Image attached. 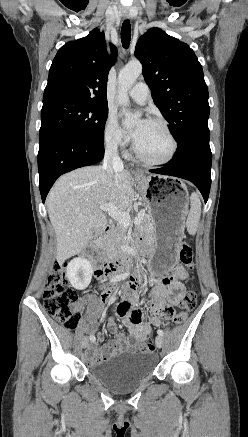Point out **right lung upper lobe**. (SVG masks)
<instances>
[{
    "label": "right lung upper lobe",
    "mask_w": 248,
    "mask_h": 437,
    "mask_svg": "<svg viewBox=\"0 0 248 437\" xmlns=\"http://www.w3.org/2000/svg\"><path fill=\"white\" fill-rule=\"evenodd\" d=\"M110 47L111 57L104 34L98 29L62 46L50 67L43 99L69 97L108 106L107 78L117 56V48L112 44Z\"/></svg>",
    "instance_id": "obj_1"
}]
</instances>
